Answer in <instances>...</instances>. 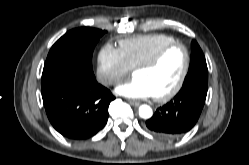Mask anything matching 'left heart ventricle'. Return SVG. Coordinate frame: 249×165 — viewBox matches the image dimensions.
I'll return each instance as SVG.
<instances>
[{
	"label": "left heart ventricle",
	"mask_w": 249,
	"mask_h": 165,
	"mask_svg": "<svg viewBox=\"0 0 249 165\" xmlns=\"http://www.w3.org/2000/svg\"><path fill=\"white\" fill-rule=\"evenodd\" d=\"M185 55L180 47L169 50L161 61L153 68L134 73L135 77L143 79L151 88L154 96L162 95L176 84L184 66Z\"/></svg>",
	"instance_id": "obj_1"
}]
</instances>
